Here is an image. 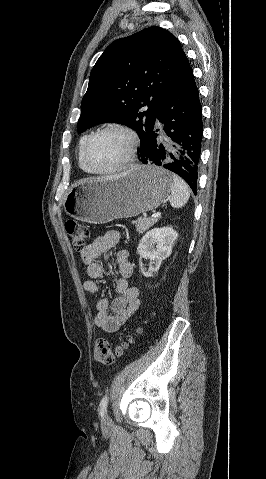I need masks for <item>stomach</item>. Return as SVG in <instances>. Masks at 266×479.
Masks as SVG:
<instances>
[{
	"label": "stomach",
	"mask_w": 266,
	"mask_h": 479,
	"mask_svg": "<svg viewBox=\"0 0 266 479\" xmlns=\"http://www.w3.org/2000/svg\"><path fill=\"white\" fill-rule=\"evenodd\" d=\"M172 174L155 165H136L109 179L73 185L63 200L65 212L80 221L104 224L154 210L169 195Z\"/></svg>",
	"instance_id": "obj_1"
}]
</instances>
